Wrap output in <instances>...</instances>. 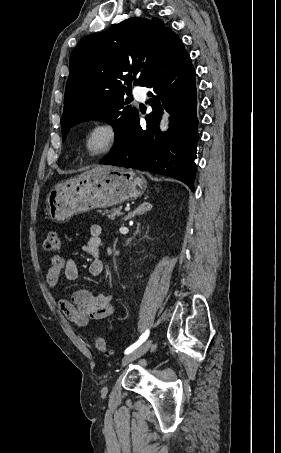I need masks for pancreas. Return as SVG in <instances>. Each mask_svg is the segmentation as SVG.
<instances>
[{
  "label": "pancreas",
  "instance_id": "1",
  "mask_svg": "<svg viewBox=\"0 0 281 453\" xmlns=\"http://www.w3.org/2000/svg\"><path fill=\"white\" fill-rule=\"evenodd\" d=\"M121 208H111V210H105L102 214H107L109 218H115V216H120L123 212H120Z\"/></svg>",
  "mask_w": 281,
  "mask_h": 453
}]
</instances>
